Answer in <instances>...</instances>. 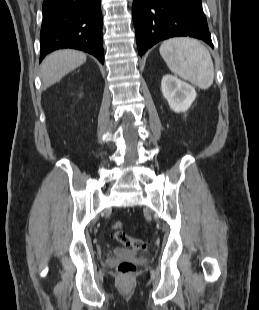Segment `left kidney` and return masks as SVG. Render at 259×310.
<instances>
[{
	"mask_svg": "<svg viewBox=\"0 0 259 310\" xmlns=\"http://www.w3.org/2000/svg\"><path fill=\"white\" fill-rule=\"evenodd\" d=\"M161 90L170 108L176 113L187 111L197 95L194 87L170 74L163 76Z\"/></svg>",
	"mask_w": 259,
	"mask_h": 310,
	"instance_id": "obj_1",
	"label": "left kidney"
}]
</instances>
